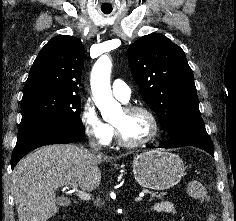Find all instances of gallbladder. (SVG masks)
I'll use <instances>...</instances> for the list:
<instances>
[{
  "instance_id": "gallbladder-1",
  "label": "gallbladder",
  "mask_w": 236,
  "mask_h": 221,
  "mask_svg": "<svg viewBox=\"0 0 236 221\" xmlns=\"http://www.w3.org/2000/svg\"><path fill=\"white\" fill-rule=\"evenodd\" d=\"M57 202H58L59 205H62L63 204V199L59 197V198H57Z\"/></svg>"
}]
</instances>
